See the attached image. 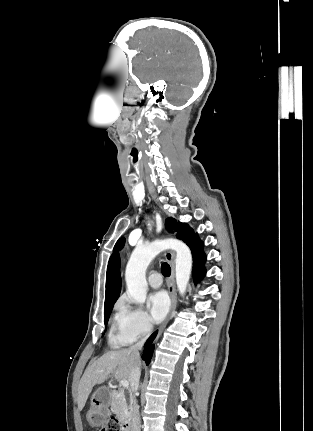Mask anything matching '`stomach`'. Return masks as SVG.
Segmentation results:
<instances>
[{
    "label": "stomach",
    "mask_w": 313,
    "mask_h": 431,
    "mask_svg": "<svg viewBox=\"0 0 313 431\" xmlns=\"http://www.w3.org/2000/svg\"><path fill=\"white\" fill-rule=\"evenodd\" d=\"M112 398V392L106 387L98 388L93 393L91 408L87 413V419L91 425L101 426L107 422Z\"/></svg>",
    "instance_id": "1"
}]
</instances>
